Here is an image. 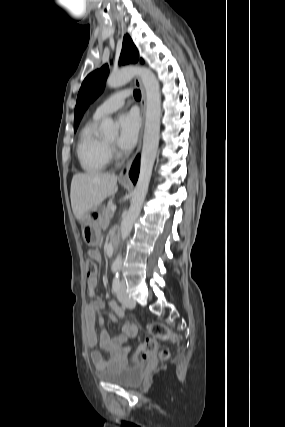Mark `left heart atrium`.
Returning <instances> with one entry per match:
<instances>
[{
    "mask_svg": "<svg viewBox=\"0 0 285 427\" xmlns=\"http://www.w3.org/2000/svg\"><path fill=\"white\" fill-rule=\"evenodd\" d=\"M119 136L117 138V145L122 150L131 149L138 138L140 121L134 112L123 113L119 117Z\"/></svg>",
    "mask_w": 285,
    "mask_h": 427,
    "instance_id": "obj_1",
    "label": "left heart atrium"
}]
</instances>
